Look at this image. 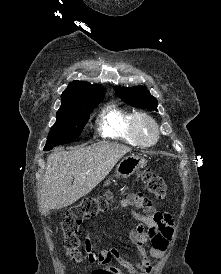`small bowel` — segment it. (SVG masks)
Listing matches in <instances>:
<instances>
[{"label": "small bowel", "instance_id": "1", "mask_svg": "<svg viewBox=\"0 0 221 274\" xmlns=\"http://www.w3.org/2000/svg\"><path fill=\"white\" fill-rule=\"evenodd\" d=\"M121 208L129 209L135 226L129 233V242L135 253L134 262L128 261L116 248L95 251L89 238L85 240L88 261L98 267L91 274H125L111 266L117 260L129 274H151L152 260L162 257L170 246L174 222L169 213L158 211L142 193H131L119 202ZM132 207H137V212Z\"/></svg>", "mask_w": 221, "mask_h": 274}]
</instances>
